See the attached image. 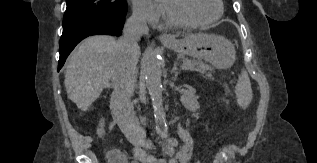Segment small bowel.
<instances>
[{"mask_svg":"<svg viewBox=\"0 0 317 163\" xmlns=\"http://www.w3.org/2000/svg\"><path fill=\"white\" fill-rule=\"evenodd\" d=\"M179 137L183 141V146L177 148V141L175 139H169L164 147V156H172L176 152V157L170 161V163H188L191 161L194 152V143L191 135L188 131L179 130ZM134 160L128 162L126 156L119 152L117 155H113L111 152L108 154L109 163H166L164 158H156L152 155L146 154L142 149L134 150ZM193 163H199L193 161Z\"/></svg>","mask_w":317,"mask_h":163,"instance_id":"obj_1","label":"small bowel"}]
</instances>
